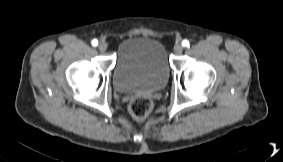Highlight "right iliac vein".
I'll use <instances>...</instances> for the list:
<instances>
[{"instance_id": "63e3f726", "label": "right iliac vein", "mask_w": 283, "mask_h": 162, "mask_svg": "<svg viewBox=\"0 0 283 162\" xmlns=\"http://www.w3.org/2000/svg\"><path fill=\"white\" fill-rule=\"evenodd\" d=\"M98 49L102 52L106 51L107 44L105 42H100L99 45H98Z\"/></svg>"}]
</instances>
